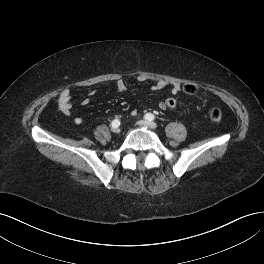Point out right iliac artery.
Segmentation results:
<instances>
[{
	"label": "right iliac artery",
	"instance_id": "obj_1",
	"mask_svg": "<svg viewBox=\"0 0 264 264\" xmlns=\"http://www.w3.org/2000/svg\"><path fill=\"white\" fill-rule=\"evenodd\" d=\"M111 125L113 128H116L120 125V121L118 119H115L112 121Z\"/></svg>",
	"mask_w": 264,
	"mask_h": 264
}]
</instances>
